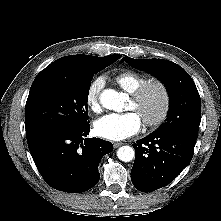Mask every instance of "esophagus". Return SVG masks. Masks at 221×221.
Here are the masks:
<instances>
[{
	"instance_id": "esophagus-1",
	"label": "esophagus",
	"mask_w": 221,
	"mask_h": 221,
	"mask_svg": "<svg viewBox=\"0 0 221 221\" xmlns=\"http://www.w3.org/2000/svg\"><path fill=\"white\" fill-rule=\"evenodd\" d=\"M122 144H123L122 142H114V143H113V146H114V148H118V147H120Z\"/></svg>"
}]
</instances>
